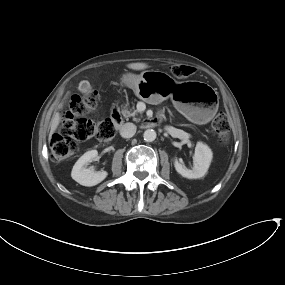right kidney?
<instances>
[{"label":"right kidney","mask_w":285,"mask_h":285,"mask_svg":"<svg viewBox=\"0 0 285 285\" xmlns=\"http://www.w3.org/2000/svg\"><path fill=\"white\" fill-rule=\"evenodd\" d=\"M97 150H91L84 153L73 166L71 177L80 185L83 186H95L102 182L108 175L106 171H98L88 169L87 165L97 160Z\"/></svg>","instance_id":"1"}]
</instances>
